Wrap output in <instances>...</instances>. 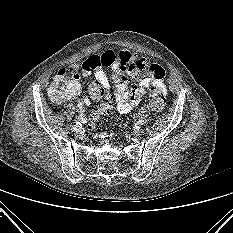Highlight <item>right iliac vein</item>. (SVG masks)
<instances>
[{"label": "right iliac vein", "instance_id": "1", "mask_svg": "<svg viewBox=\"0 0 233 233\" xmlns=\"http://www.w3.org/2000/svg\"><path fill=\"white\" fill-rule=\"evenodd\" d=\"M75 136H76L77 138H79V139H82V138H83V133H82L81 131H79V132H77V133L75 134Z\"/></svg>", "mask_w": 233, "mask_h": 233}]
</instances>
